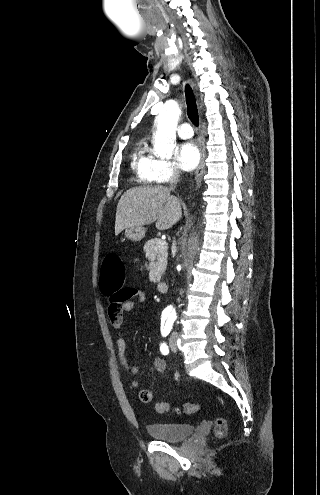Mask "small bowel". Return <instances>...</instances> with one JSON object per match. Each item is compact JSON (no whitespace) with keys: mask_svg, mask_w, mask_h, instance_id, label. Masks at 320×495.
<instances>
[{"mask_svg":"<svg viewBox=\"0 0 320 495\" xmlns=\"http://www.w3.org/2000/svg\"><path fill=\"white\" fill-rule=\"evenodd\" d=\"M121 290L127 294V298L121 303L118 302L117 293L108 295V316L111 326L117 331V350L120 364L130 375H136L139 372V368L129 363L126 355L127 343L122 334V325L124 314L145 302L146 291L135 287H122ZM152 364L159 373L163 372L166 368L165 360L160 357L154 358ZM131 387L134 389L138 388L139 382L136 380L131 381Z\"/></svg>","mask_w":320,"mask_h":495,"instance_id":"small-bowel-1","label":"small bowel"}]
</instances>
